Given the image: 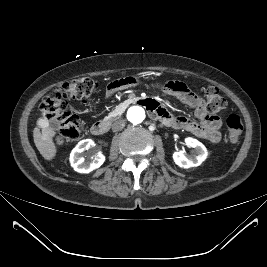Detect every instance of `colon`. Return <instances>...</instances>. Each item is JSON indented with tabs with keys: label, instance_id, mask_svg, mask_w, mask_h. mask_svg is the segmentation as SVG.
I'll list each match as a JSON object with an SVG mask.
<instances>
[{
	"label": "colon",
	"instance_id": "1",
	"mask_svg": "<svg viewBox=\"0 0 267 267\" xmlns=\"http://www.w3.org/2000/svg\"><path fill=\"white\" fill-rule=\"evenodd\" d=\"M97 83L91 78H79L56 87L45 96L40 103L42 119L57 124L59 134L57 144L67 146L80 137L81 125L78 116L69 107L70 101H83L88 99L96 90ZM208 112L217 114L226 107L225 98L216 88H208L205 93ZM227 135L230 142L239 140L243 125L241 118L231 114L226 119Z\"/></svg>",
	"mask_w": 267,
	"mask_h": 267
}]
</instances>
